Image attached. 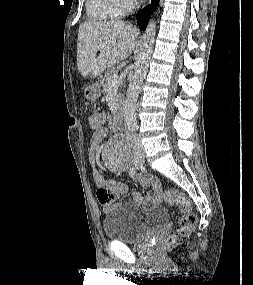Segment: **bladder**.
<instances>
[{
    "label": "bladder",
    "instance_id": "bladder-1",
    "mask_svg": "<svg viewBox=\"0 0 253 285\" xmlns=\"http://www.w3.org/2000/svg\"><path fill=\"white\" fill-rule=\"evenodd\" d=\"M167 220L168 213L162 206L126 202L110 208L103 218L102 229L104 236L111 241L133 243Z\"/></svg>",
    "mask_w": 253,
    "mask_h": 285
}]
</instances>
